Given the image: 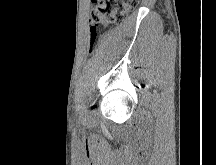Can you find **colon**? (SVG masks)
Listing matches in <instances>:
<instances>
[{"label": "colon", "instance_id": "colon-1", "mask_svg": "<svg viewBox=\"0 0 216 165\" xmlns=\"http://www.w3.org/2000/svg\"><path fill=\"white\" fill-rule=\"evenodd\" d=\"M93 3L95 9L91 16L92 41L101 27L123 21L127 13L138 5L139 0H93Z\"/></svg>", "mask_w": 216, "mask_h": 165}]
</instances>
